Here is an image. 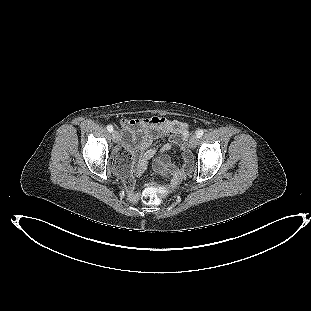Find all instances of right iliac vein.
Wrapping results in <instances>:
<instances>
[{
	"label": "right iliac vein",
	"mask_w": 311,
	"mask_h": 311,
	"mask_svg": "<svg viewBox=\"0 0 311 311\" xmlns=\"http://www.w3.org/2000/svg\"><path fill=\"white\" fill-rule=\"evenodd\" d=\"M119 139H120V135H119V132L114 130L112 131V140L114 143H117L119 142Z\"/></svg>",
	"instance_id": "right-iliac-vein-1"
}]
</instances>
